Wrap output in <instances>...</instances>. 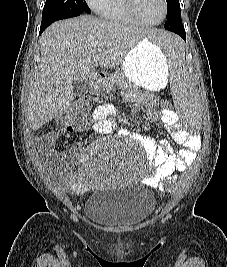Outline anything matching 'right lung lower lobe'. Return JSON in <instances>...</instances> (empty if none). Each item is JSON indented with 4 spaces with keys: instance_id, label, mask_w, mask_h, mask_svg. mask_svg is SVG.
<instances>
[{
    "instance_id": "obj_1",
    "label": "right lung lower lobe",
    "mask_w": 227,
    "mask_h": 267,
    "mask_svg": "<svg viewBox=\"0 0 227 267\" xmlns=\"http://www.w3.org/2000/svg\"><path fill=\"white\" fill-rule=\"evenodd\" d=\"M80 15V14H78ZM78 15H72V16H69V17H54V18H46V19H42V22H41V27H40V34L50 25L52 24L53 22L57 21V20H61V19H65V18H70V17H75V16H78Z\"/></svg>"
}]
</instances>
